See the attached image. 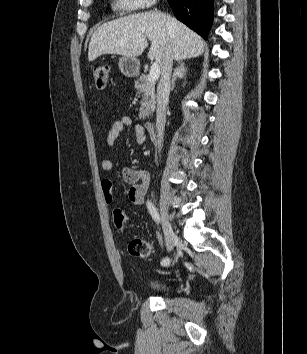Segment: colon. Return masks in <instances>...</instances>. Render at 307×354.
<instances>
[{
	"instance_id": "1",
	"label": "colon",
	"mask_w": 307,
	"mask_h": 354,
	"mask_svg": "<svg viewBox=\"0 0 307 354\" xmlns=\"http://www.w3.org/2000/svg\"><path fill=\"white\" fill-rule=\"evenodd\" d=\"M92 74L98 88L106 86L110 74V67L107 64H96L92 67ZM113 221L116 228L124 230L129 224V213L125 208L118 207L113 211ZM130 254L140 258H150L153 254L152 245L140 238H134L129 242Z\"/></svg>"
}]
</instances>
